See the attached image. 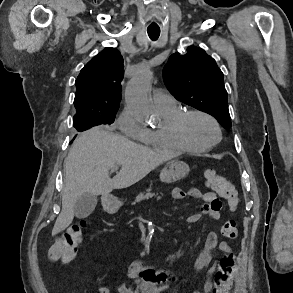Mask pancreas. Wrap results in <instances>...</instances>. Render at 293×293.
I'll list each match as a JSON object with an SVG mask.
<instances>
[{
    "label": "pancreas",
    "mask_w": 293,
    "mask_h": 293,
    "mask_svg": "<svg viewBox=\"0 0 293 293\" xmlns=\"http://www.w3.org/2000/svg\"><path fill=\"white\" fill-rule=\"evenodd\" d=\"M151 190H152V189L149 188V189L146 190V192L140 193V194L137 196L135 202H133L132 204H136V203H139V202H141V201H145V200H148V199H150V198H153V197L157 196V194L152 193Z\"/></svg>",
    "instance_id": "obj_1"
}]
</instances>
